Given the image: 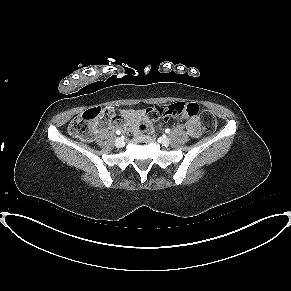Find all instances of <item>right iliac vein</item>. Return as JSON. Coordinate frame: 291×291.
Returning a JSON list of instances; mask_svg holds the SVG:
<instances>
[{"label": "right iliac vein", "mask_w": 291, "mask_h": 291, "mask_svg": "<svg viewBox=\"0 0 291 291\" xmlns=\"http://www.w3.org/2000/svg\"><path fill=\"white\" fill-rule=\"evenodd\" d=\"M125 145V142L121 138L115 139V146L116 147H123Z\"/></svg>", "instance_id": "right-iliac-vein-1"}]
</instances>
